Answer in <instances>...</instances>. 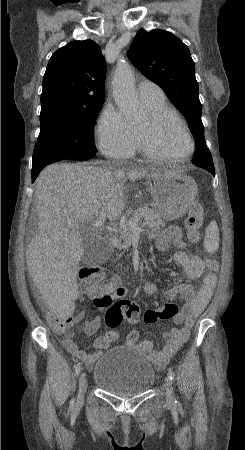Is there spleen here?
<instances>
[{"label": "spleen", "mask_w": 245, "mask_h": 450, "mask_svg": "<svg viewBox=\"0 0 245 450\" xmlns=\"http://www.w3.org/2000/svg\"><path fill=\"white\" fill-rule=\"evenodd\" d=\"M219 247V229L212 221L205 230L204 248L208 253H214Z\"/></svg>", "instance_id": "3e777b00"}]
</instances>
